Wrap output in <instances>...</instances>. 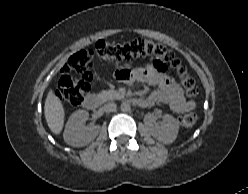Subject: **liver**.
<instances>
[{
  "instance_id": "1",
  "label": "liver",
  "mask_w": 248,
  "mask_h": 194,
  "mask_svg": "<svg viewBox=\"0 0 248 194\" xmlns=\"http://www.w3.org/2000/svg\"><path fill=\"white\" fill-rule=\"evenodd\" d=\"M45 119L54 134H60L64 126L65 111L57 96L51 89L46 97L44 106Z\"/></svg>"
}]
</instances>
